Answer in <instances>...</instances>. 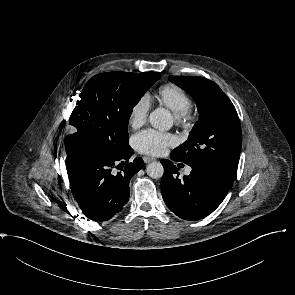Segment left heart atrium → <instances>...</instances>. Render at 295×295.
I'll return each mask as SVG.
<instances>
[{"label": "left heart atrium", "mask_w": 295, "mask_h": 295, "mask_svg": "<svg viewBox=\"0 0 295 295\" xmlns=\"http://www.w3.org/2000/svg\"><path fill=\"white\" fill-rule=\"evenodd\" d=\"M175 143L176 138L174 135L154 129L144 130L133 137L135 149L142 154L152 156L164 154L167 148Z\"/></svg>", "instance_id": "obj_1"}]
</instances>
